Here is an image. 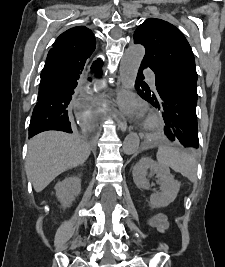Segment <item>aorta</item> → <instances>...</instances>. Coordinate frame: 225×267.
Here are the masks:
<instances>
[{"mask_svg": "<svg viewBox=\"0 0 225 267\" xmlns=\"http://www.w3.org/2000/svg\"><path fill=\"white\" fill-rule=\"evenodd\" d=\"M145 55V48L140 44L130 45L120 63V79L125 87L132 88L135 84L138 69ZM140 139L135 133L126 136L123 142V152L132 155L139 148Z\"/></svg>", "mask_w": 225, "mask_h": 267, "instance_id": "aorta-1", "label": "aorta"}]
</instances>
